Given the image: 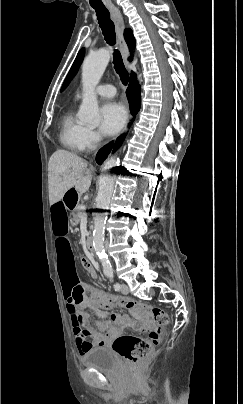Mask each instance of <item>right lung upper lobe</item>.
<instances>
[{"label": "right lung upper lobe", "mask_w": 243, "mask_h": 404, "mask_svg": "<svg viewBox=\"0 0 243 404\" xmlns=\"http://www.w3.org/2000/svg\"><path fill=\"white\" fill-rule=\"evenodd\" d=\"M124 37L128 44V47L131 50H133L135 48L136 41H135L132 31L130 29H126L125 33H124ZM129 60H132V57H130ZM132 74H134V73H132Z\"/></svg>", "instance_id": "1"}]
</instances>
